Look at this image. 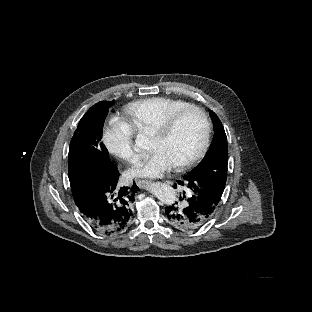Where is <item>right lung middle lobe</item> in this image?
<instances>
[{"label": "right lung middle lobe", "mask_w": 312, "mask_h": 312, "mask_svg": "<svg viewBox=\"0 0 312 312\" xmlns=\"http://www.w3.org/2000/svg\"><path fill=\"white\" fill-rule=\"evenodd\" d=\"M111 102H99L80 120L70 142L68 177L71 188L101 173H112L117 167L111 162L108 150L101 141L105 118Z\"/></svg>", "instance_id": "obj_1"}]
</instances>
